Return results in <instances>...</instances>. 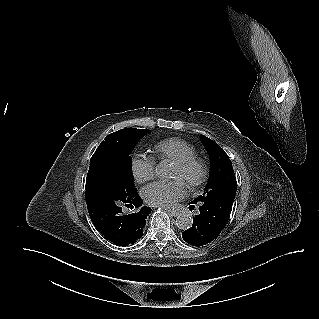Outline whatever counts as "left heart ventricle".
I'll return each mask as SVG.
<instances>
[{"label":"left heart ventricle","mask_w":319,"mask_h":319,"mask_svg":"<svg viewBox=\"0 0 319 319\" xmlns=\"http://www.w3.org/2000/svg\"><path fill=\"white\" fill-rule=\"evenodd\" d=\"M197 174V170L194 169L190 176H195ZM171 178L172 179H180L183 182L186 181V175L182 173L176 166H173L172 171H171Z\"/></svg>","instance_id":"b2bd125f"}]
</instances>
